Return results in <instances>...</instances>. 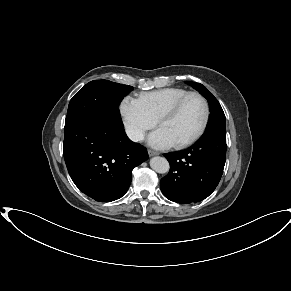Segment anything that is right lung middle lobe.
<instances>
[{
    "label": "right lung middle lobe",
    "mask_w": 291,
    "mask_h": 291,
    "mask_svg": "<svg viewBox=\"0 0 291 291\" xmlns=\"http://www.w3.org/2000/svg\"><path fill=\"white\" fill-rule=\"evenodd\" d=\"M132 90V86L108 80L91 81L71 99L66 121L78 120L90 124L102 117L118 115L120 102Z\"/></svg>",
    "instance_id": "obj_1"
}]
</instances>
